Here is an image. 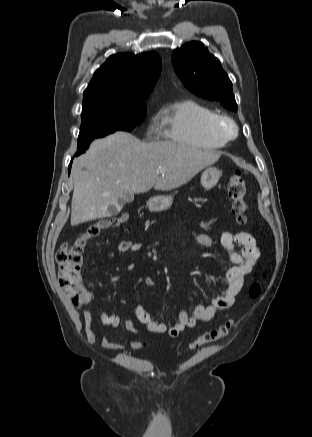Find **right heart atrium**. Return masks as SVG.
Returning <instances> with one entry per match:
<instances>
[{
	"label": "right heart atrium",
	"instance_id": "d8ad5b80",
	"mask_svg": "<svg viewBox=\"0 0 312 437\" xmlns=\"http://www.w3.org/2000/svg\"><path fill=\"white\" fill-rule=\"evenodd\" d=\"M156 119L152 118L150 124L147 127L146 133L150 137H155L158 134L157 126H156Z\"/></svg>",
	"mask_w": 312,
	"mask_h": 437
}]
</instances>
